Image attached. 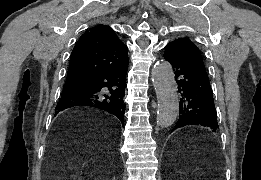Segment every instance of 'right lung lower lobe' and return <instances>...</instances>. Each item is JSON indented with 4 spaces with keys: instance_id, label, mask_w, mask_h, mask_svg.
Listing matches in <instances>:
<instances>
[{
    "instance_id": "right-lung-lower-lobe-1",
    "label": "right lung lower lobe",
    "mask_w": 261,
    "mask_h": 180,
    "mask_svg": "<svg viewBox=\"0 0 261 180\" xmlns=\"http://www.w3.org/2000/svg\"><path fill=\"white\" fill-rule=\"evenodd\" d=\"M127 69L128 63L93 74L87 86L61 96L56 106L57 113L74 106H92L115 115L123 124Z\"/></svg>"
}]
</instances>
